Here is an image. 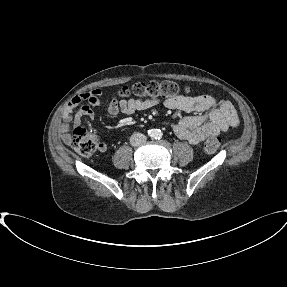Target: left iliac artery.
Masks as SVG:
<instances>
[{
  "label": "left iliac artery",
  "mask_w": 287,
  "mask_h": 287,
  "mask_svg": "<svg viewBox=\"0 0 287 287\" xmlns=\"http://www.w3.org/2000/svg\"><path fill=\"white\" fill-rule=\"evenodd\" d=\"M157 137H158V139H160V138L162 137L161 131H159V132L157 133Z\"/></svg>",
  "instance_id": "44dca946"
}]
</instances>
